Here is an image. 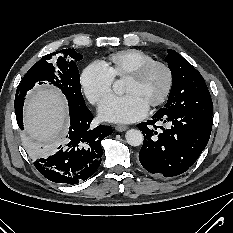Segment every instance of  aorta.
<instances>
[{
    "label": "aorta",
    "mask_w": 233,
    "mask_h": 233,
    "mask_svg": "<svg viewBox=\"0 0 233 233\" xmlns=\"http://www.w3.org/2000/svg\"><path fill=\"white\" fill-rule=\"evenodd\" d=\"M113 90L117 94L123 93V83L122 81H116L113 84ZM126 141L131 146H140L143 143V134L140 130L130 129L125 134Z\"/></svg>",
    "instance_id": "1"
}]
</instances>
